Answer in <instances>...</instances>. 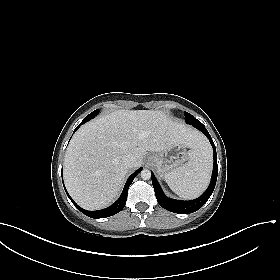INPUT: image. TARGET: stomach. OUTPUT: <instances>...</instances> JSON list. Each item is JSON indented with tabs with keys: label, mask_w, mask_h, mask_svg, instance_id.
Returning <instances> with one entry per match:
<instances>
[{
	"label": "stomach",
	"mask_w": 280,
	"mask_h": 280,
	"mask_svg": "<svg viewBox=\"0 0 280 280\" xmlns=\"http://www.w3.org/2000/svg\"><path fill=\"white\" fill-rule=\"evenodd\" d=\"M189 153L184 145L176 144L158 154L150 155L149 161L159 175L165 176L168 172L182 166L189 159Z\"/></svg>",
	"instance_id": "stomach-1"
}]
</instances>
